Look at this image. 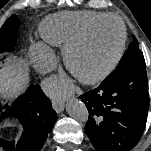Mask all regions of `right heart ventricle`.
<instances>
[{
  "instance_id": "right-heart-ventricle-1",
  "label": "right heart ventricle",
  "mask_w": 151,
  "mask_h": 151,
  "mask_svg": "<svg viewBox=\"0 0 151 151\" xmlns=\"http://www.w3.org/2000/svg\"><path fill=\"white\" fill-rule=\"evenodd\" d=\"M107 15L103 12L68 11L46 17L40 25L43 39L55 46H65L75 39L89 24Z\"/></svg>"
}]
</instances>
